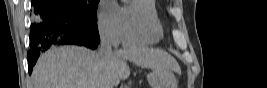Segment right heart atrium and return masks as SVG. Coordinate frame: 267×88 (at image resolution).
Returning a JSON list of instances; mask_svg holds the SVG:
<instances>
[{
    "instance_id": "right-heart-atrium-1",
    "label": "right heart atrium",
    "mask_w": 267,
    "mask_h": 88,
    "mask_svg": "<svg viewBox=\"0 0 267 88\" xmlns=\"http://www.w3.org/2000/svg\"><path fill=\"white\" fill-rule=\"evenodd\" d=\"M100 35L114 45L123 40L124 19L122 9L113 1L103 2L98 12Z\"/></svg>"
}]
</instances>
